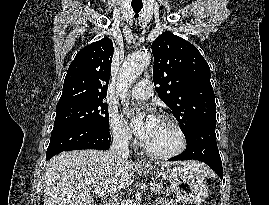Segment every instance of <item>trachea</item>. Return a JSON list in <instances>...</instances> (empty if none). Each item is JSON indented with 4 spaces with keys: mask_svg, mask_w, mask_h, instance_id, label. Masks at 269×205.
<instances>
[{
    "mask_svg": "<svg viewBox=\"0 0 269 205\" xmlns=\"http://www.w3.org/2000/svg\"><path fill=\"white\" fill-rule=\"evenodd\" d=\"M133 11L135 13V18H138L139 12L143 8V5H132Z\"/></svg>",
    "mask_w": 269,
    "mask_h": 205,
    "instance_id": "1",
    "label": "trachea"
}]
</instances>
